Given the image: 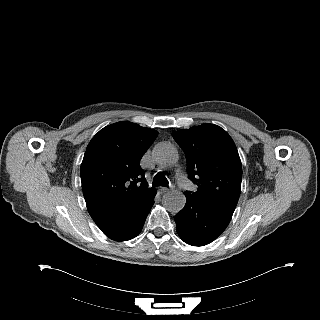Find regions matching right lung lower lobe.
<instances>
[{
  "instance_id": "right-lung-lower-lobe-1",
  "label": "right lung lower lobe",
  "mask_w": 320,
  "mask_h": 320,
  "mask_svg": "<svg viewBox=\"0 0 320 320\" xmlns=\"http://www.w3.org/2000/svg\"><path fill=\"white\" fill-rule=\"evenodd\" d=\"M154 196L143 206L124 215L99 221L96 223L97 226L107 237L115 241H127L135 238L141 232L146 217L154 204Z\"/></svg>"
}]
</instances>
